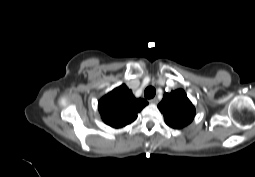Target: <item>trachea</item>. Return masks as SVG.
I'll use <instances>...</instances> for the list:
<instances>
[{
  "instance_id": "1",
  "label": "trachea",
  "mask_w": 255,
  "mask_h": 177,
  "mask_svg": "<svg viewBox=\"0 0 255 177\" xmlns=\"http://www.w3.org/2000/svg\"><path fill=\"white\" fill-rule=\"evenodd\" d=\"M155 94H156V89L152 86L147 87L144 91V96L147 99L153 98Z\"/></svg>"
}]
</instances>
